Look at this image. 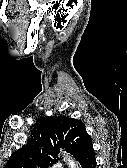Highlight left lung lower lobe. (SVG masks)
Segmentation results:
<instances>
[{
	"label": "left lung lower lobe",
	"mask_w": 127,
	"mask_h": 168,
	"mask_svg": "<svg viewBox=\"0 0 127 168\" xmlns=\"http://www.w3.org/2000/svg\"><path fill=\"white\" fill-rule=\"evenodd\" d=\"M82 168H95L96 159L93 149L92 140L90 137L84 140L76 156Z\"/></svg>",
	"instance_id": "1"
}]
</instances>
